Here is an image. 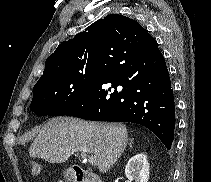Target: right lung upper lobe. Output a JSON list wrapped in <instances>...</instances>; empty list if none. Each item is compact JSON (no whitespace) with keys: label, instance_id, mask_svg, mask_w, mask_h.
I'll return each instance as SVG.
<instances>
[{"label":"right lung upper lobe","instance_id":"1","mask_svg":"<svg viewBox=\"0 0 211 182\" xmlns=\"http://www.w3.org/2000/svg\"><path fill=\"white\" fill-rule=\"evenodd\" d=\"M106 36L111 39L121 36L123 40L129 39L135 42H143L152 38L133 19L118 14L108 15L94 22L73 39L62 42L47 58L43 75L36 84L95 65L99 56L100 42Z\"/></svg>","mask_w":211,"mask_h":182}]
</instances>
